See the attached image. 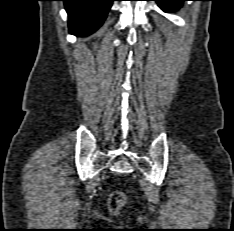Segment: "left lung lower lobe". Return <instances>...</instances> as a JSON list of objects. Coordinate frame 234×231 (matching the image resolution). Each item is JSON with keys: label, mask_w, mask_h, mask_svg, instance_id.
<instances>
[{"label": "left lung lower lobe", "mask_w": 234, "mask_h": 231, "mask_svg": "<svg viewBox=\"0 0 234 231\" xmlns=\"http://www.w3.org/2000/svg\"><path fill=\"white\" fill-rule=\"evenodd\" d=\"M158 3L159 7L165 11L170 12L179 9L183 1L187 0H154Z\"/></svg>", "instance_id": "0a47b994"}]
</instances>
